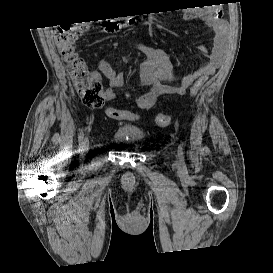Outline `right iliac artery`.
Segmentation results:
<instances>
[{
    "label": "right iliac artery",
    "mask_w": 273,
    "mask_h": 273,
    "mask_svg": "<svg viewBox=\"0 0 273 273\" xmlns=\"http://www.w3.org/2000/svg\"><path fill=\"white\" fill-rule=\"evenodd\" d=\"M83 138H84V132H83V130H81L80 132H79V134H78V141H79V152L82 150L81 149V145H82V141H83Z\"/></svg>",
    "instance_id": "right-iliac-artery-1"
}]
</instances>
